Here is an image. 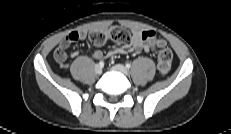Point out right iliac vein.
Segmentation results:
<instances>
[{"label":"right iliac vein","instance_id":"1","mask_svg":"<svg viewBox=\"0 0 231 134\" xmlns=\"http://www.w3.org/2000/svg\"><path fill=\"white\" fill-rule=\"evenodd\" d=\"M94 70L97 75H100L102 73V67L99 64L95 65Z\"/></svg>","mask_w":231,"mask_h":134}]
</instances>
